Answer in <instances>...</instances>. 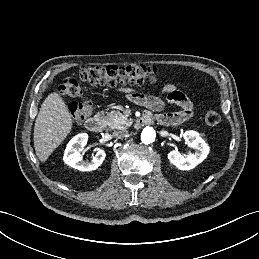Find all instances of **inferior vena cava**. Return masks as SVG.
<instances>
[{
    "mask_svg": "<svg viewBox=\"0 0 259 259\" xmlns=\"http://www.w3.org/2000/svg\"><path fill=\"white\" fill-rule=\"evenodd\" d=\"M113 134H114V137L121 139V138H124L128 134V132L124 129H120L115 131Z\"/></svg>",
    "mask_w": 259,
    "mask_h": 259,
    "instance_id": "602c4592",
    "label": "inferior vena cava"
}]
</instances>
